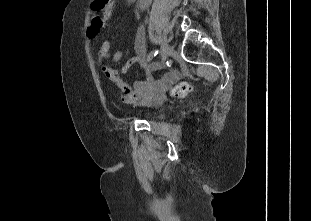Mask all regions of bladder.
Returning <instances> with one entry per match:
<instances>
[{
    "label": "bladder",
    "instance_id": "1",
    "mask_svg": "<svg viewBox=\"0 0 311 221\" xmlns=\"http://www.w3.org/2000/svg\"><path fill=\"white\" fill-rule=\"evenodd\" d=\"M160 107V104L158 103H153L151 104L150 107L145 108L144 110L141 111V113L147 115V116H154L156 110Z\"/></svg>",
    "mask_w": 311,
    "mask_h": 221
}]
</instances>
